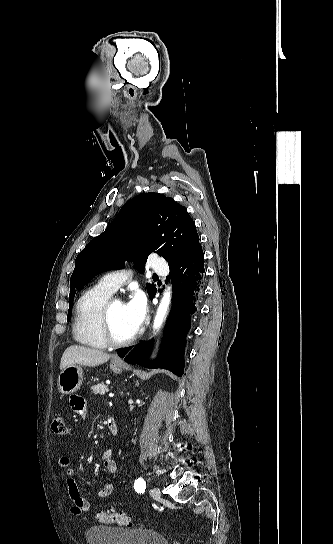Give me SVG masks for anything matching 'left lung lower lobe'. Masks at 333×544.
<instances>
[{
  "mask_svg": "<svg viewBox=\"0 0 333 544\" xmlns=\"http://www.w3.org/2000/svg\"><path fill=\"white\" fill-rule=\"evenodd\" d=\"M204 253L199 245L183 262L171 268L174 281L173 304L164 330L161 349L154 361L148 356L152 340L136 347L119 349V356L131 364L147 368L167 369L177 376L184 373V351L190 321L199 309L202 297ZM156 292L150 296L152 300Z\"/></svg>",
  "mask_w": 333,
  "mask_h": 544,
  "instance_id": "left-lung-lower-lobe-1",
  "label": "left lung lower lobe"
}]
</instances>
